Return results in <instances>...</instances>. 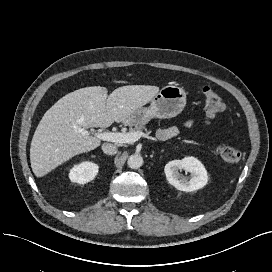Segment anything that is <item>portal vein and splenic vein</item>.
<instances>
[{
    "label": "portal vein and splenic vein",
    "instance_id": "1",
    "mask_svg": "<svg viewBox=\"0 0 272 272\" xmlns=\"http://www.w3.org/2000/svg\"><path fill=\"white\" fill-rule=\"evenodd\" d=\"M75 131L83 134V135H90V132L80 128L75 127ZM97 138L103 141H110L115 143H134L138 141L141 137H145V133L143 132H128V133H118V132H93Z\"/></svg>",
    "mask_w": 272,
    "mask_h": 272
}]
</instances>
